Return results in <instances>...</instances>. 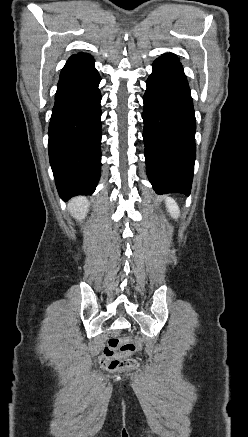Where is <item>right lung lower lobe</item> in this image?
Wrapping results in <instances>:
<instances>
[{"label": "right lung lower lobe", "mask_w": 248, "mask_h": 437, "mask_svg": "<svg viewBox=\"0 0 248 437\" xmlns=\"http://www.w3.org/2000/svg\"><path fill=\"white\" fill-rule=\"evenodd\" d=\"M100 80L90 55L71 56L60 73L48 151L63 200L92 194L100 178Z\"/></svg>", "instance_id": "obj_1"}]
</instances>
